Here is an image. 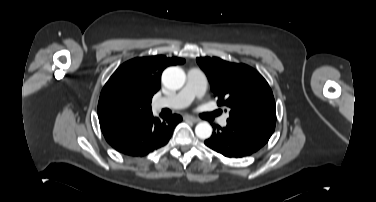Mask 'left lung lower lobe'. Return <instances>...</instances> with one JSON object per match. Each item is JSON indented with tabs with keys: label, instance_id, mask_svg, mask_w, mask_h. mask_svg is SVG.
<instances>
[{
	"label": "left lung lower lobe",
	"instance_id": "0a47b994",
	"mask_svg": "<svg viewBox=\"0 0 376 202\" xmlns=\"http://www.w3.org/2000/svg\"><path fill=\"white\" fill-rule=\"evenodd\" d=\"M215 132L205 140L212 150L226 157H244L262 148L273 132L252 125L227 120L224 128L213 126Z\"/></svg>",
	"mask_w": 376,
	"mask_h": 202
}]
</instances>
